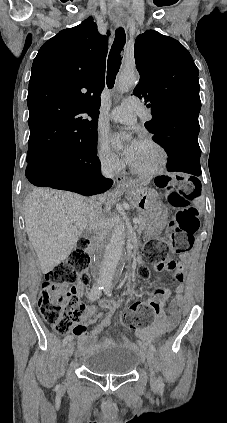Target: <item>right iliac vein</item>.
Listing matches in <instances>:
<instances>
[{"label": "right iliac vein", "instance_id": "63e3f726", "mask_svg": "<svg viewBox=\"0 0 227 423\" xmlns=\"http://www.w3.org/2000/svg\"><path fill=\"white\" fill-rule=\"evenodd\" d=\"M73 351H74V343L70 342L66 347V354L69 358L72 356Z\"/></svg>", "mask_w": 227, "mask_h": 423}]
</instances>
